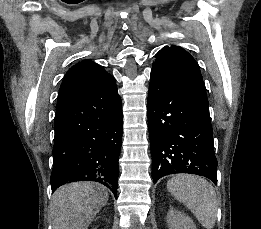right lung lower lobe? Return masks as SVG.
Returning <instances> with one entry per match:
<instances>
[{"label":"right lung lower lobe","instance_id":"1","mask_svg":"<svg viewBox=\"0 0 261 229\" xmlns=\"http://www.w3.org/2000/svg\"><path fill=\"white\" fill-rule=\"evenodd\" d=\"M54 129L52 191L70 182L94 181L117 198L122 107L114 78L58 110Z\"/></svg>","mask_w":261,"mask_h":229}]
</instances>
